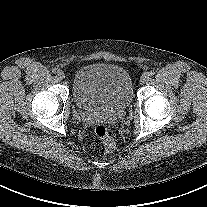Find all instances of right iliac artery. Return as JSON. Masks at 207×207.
I'll return each mask as SVG.
<instances>
[{"mask_svg":"<svg viewBox=\"0 0 207 207\" xmlns=\"http://www.w3.org/2000/svg\"><path fill=\"white\" fill-rule=\"evenodd\" d=\"M57 71H58L57 68H53V69H52V72H53V73H57Z\"/></svg>","mask_w":207,"mask_h":207,"instance_id":"obj_1","label":"right iliac artery"}]
</instances>
